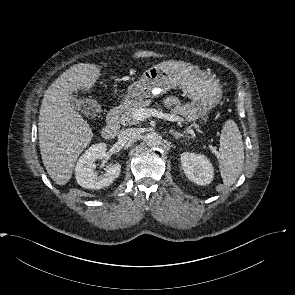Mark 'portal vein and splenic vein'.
I'll return each mask as SVG.
<instances>
[{
    "mask_svg": "<svg viewBox=\"0 0 295 295\" xmlns=\"http://www.w3.org/2000/svg\"><path fill=\"white\" fill-rule=\"evenodd\" d=\"M151 116L158 117L161 119H166L172 122L183 121V119L179 116L168 114V113H162L152 108H139L133 114L134 119H136L137 121H143L145 118H148Z\"/></svg>",
    "mask_w": 295,
    "mask_h": 295,
    "instance_id": "18ae733b",
    "label": "portal vein and splenic vein"
}]
</instances>
